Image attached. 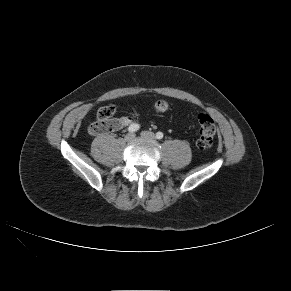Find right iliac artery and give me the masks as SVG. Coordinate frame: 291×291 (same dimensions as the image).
Masks as SVG:
<instances>
[{"instance_id":"right-iliac-artery-1","label":"right iliac artery","mask_w":291,"mask_h":291,"mask_svg":"<svg viewBox=\"0 0 291 291\" xmlns=\"http://www.w3.org/2000/svg\"><path fill=\"white\" fill-rule=\"evenodd\" d=\"M140 126L139 124H131L129 127H128V131L133 133V132H136L137 130H139Z\"/></svg>"}]
</instances>
